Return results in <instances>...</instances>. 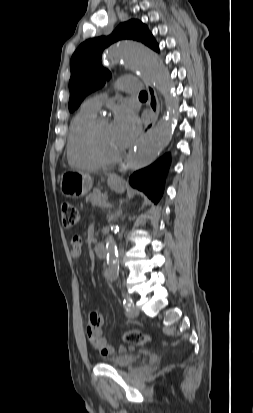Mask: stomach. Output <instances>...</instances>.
<instances>
[{
	"mask_svg": "<svg viewBox=\"0 0 253 413\" xmlns=\"http://www.w3.org/2000/svg\"><path fill=\"white\" fill-rule=\"evenodd\" d=\"M109 187L122 193L125 190L121 180L109 181ZM92 188V179L89 174L83 172H64L61 176L60 189L66 197L79 198L86 195Z\"/></svg>",
	"mask_w": 253,
	"mask_h": 413,
	"instance_id": "1",
	"label": "stomach"
}]
</instances>
